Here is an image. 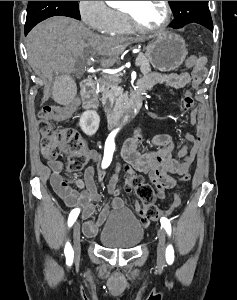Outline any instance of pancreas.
<instances>
[{
    "label": "pancreas",
    "instance_id": "1",
    "mask_svg": "<svg viewBox=\"0 0 237 300\" xmlns=\"http://www.w3.org/2000/svg\"><path fill=\"white\" fill-rule=\"evenodd\" d=\"M139 61L141 64L139 65L141 73L143 75H148L150 73V61L145 57V55H138L136 61ZM100 83V93H103L104 103L107 105L109 103V109L106 107L105 111L107 113V117H113V119H118L119 115H117V105H116V97L114 95V91L112 87H118L119 83H121L119 77L117 75H102L99 79Z\"/></svg>",
    "mask_w": 237,
    "mask_h": 300
}]
</instances>
